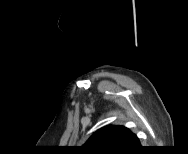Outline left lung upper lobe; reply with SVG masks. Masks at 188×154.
I'll return each instance as SVG.
<instances>
[{"label":"left lung upper lobe","instance_id":"5c2ea615","mask_svg":"<svg viewBox=\"0 0 188 154\" xmlns=\"http://www.w3.org/2000/svg\"><path fill=\"white\" fill-rule=\"evenodd\" d=\"M136 135L124 126L108 125L97 130L84 148L99 152H123L131 148Z\"/></svg>","mask_w":188,"mask_h":154}]
</instances>
